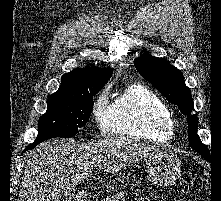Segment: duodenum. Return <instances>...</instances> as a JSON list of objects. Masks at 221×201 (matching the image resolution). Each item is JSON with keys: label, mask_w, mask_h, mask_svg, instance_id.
<instances>
[{"label": "duodenum", "mask_w": 221, "mask_h": 201, "mask_svg": "<svg viewBox=\"0 0 221 201\" xmlns=\"http://www.w3.org/2000/svg\"><path fill=\"white\" fill-rule=\"evenodd\" d=\"M76 201H85V198L82 196H79Z\"/></svg>", "instance_id": "1"}]
</instances>
